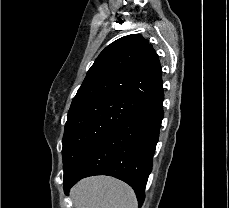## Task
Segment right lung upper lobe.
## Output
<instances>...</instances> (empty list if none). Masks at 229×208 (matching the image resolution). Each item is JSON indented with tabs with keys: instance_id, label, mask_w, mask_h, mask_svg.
Returning <instances> with one entry per match:
<instances>
[{
	"instance_id": "right-lung-upper-lobe-1",
	"label": "right lung upper lobe",
	"mask_w": 229,
	"mask_h": 208,
	"mask_svg": "<svg viewBox=\"0 0 229 208\" xmlns=\"http://www.w3.org/2000/svg\"><path fill=\"white\" fill-rule=\"evenodd\" d=\"M158 55L140 34L124 36L107 46L89 69L71 107L102 96L116 95L144 106L162 93Z\"/></svg>"
}]
</instances>
